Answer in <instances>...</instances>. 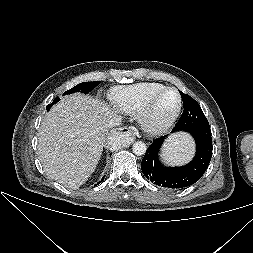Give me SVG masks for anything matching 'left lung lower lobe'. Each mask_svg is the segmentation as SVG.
Instances as JSON below:
<instances>
[{"mask_svg": "<svg viewBox=\"0 0 253 253\" xmlns=\"http://www.w3.org/2000/svg\"><path fill=\"white\" fill-rule=\"evenodd\" d=\"M179 131L176 126L173 132ZM205 132L191 133L196 142L194 159L181 167H165L159 160L160 148L166 136L157 138L149 146L141 163L143 174L158 186L180 189L196 183L204 174L212 157V139ZM211 132V131H210Z\"/></svg>", "mask_w": 253, "mask_h": 253, "instance_id": "obj_1", "label": "left lung lower lobe"}]
</instances>
